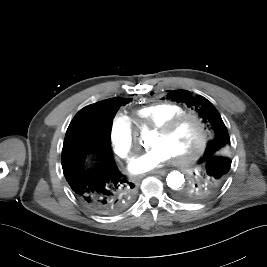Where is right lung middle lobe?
<instances>
[{
    "label": "right lung middle lobe",
    "mask_w": 267,
    "mask_h": 267,
    "mask_svg": "<svg viewBox=\"0 0 267 267\" xmlns=\"http://www.w3.org/2000/svg\"><path fill=\"white\" fill-rule=\"evenodd\" d=\"M122 104L125 105L126 103H118V102L110 103L103 110V117L105 120L106 128L104 129V133L102 135V139H101L102 142H101L100 151L102 153H104L105 155H109V156L111 155V144H110L111 137H110V135H111L112 122H113V119H114L117 111L119 110V108ZM72 123H73V120L70 123V125Z\"/></svg>",
    "instance_id": "1"
}]
</instances>
